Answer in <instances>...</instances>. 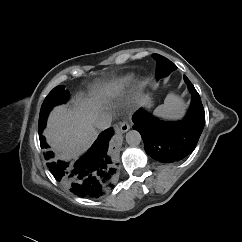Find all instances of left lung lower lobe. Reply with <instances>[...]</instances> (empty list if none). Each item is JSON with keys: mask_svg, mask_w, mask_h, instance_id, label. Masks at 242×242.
Here are the masks:
<instances>
[{"mask_svg": "<svg viewBox=\"0 0 242 242\" xmlns=\"http://www.w3.org/2000/svg\"><path fill=\"white\" fill-rule=\"evenodd\" d=\"M184 80L192 93L191 106L180 122H165L143 109L134 113L133 129L144 141L148 155L162 163L178 162L195 148L205 124V112L200 96L189 79Z\"/></svg>", "mask_w": 242, "mask_h": 242, "instance_id": "obj_1", "label": "left lung lower lobe"}]
</instances>
